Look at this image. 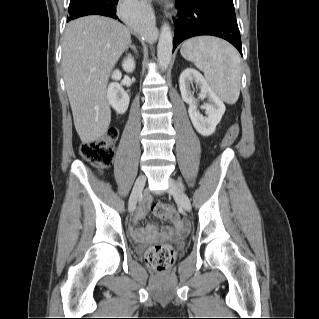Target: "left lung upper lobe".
Masks as SVG:
<instances>
[{"label":"left lung upper lobe","instance_id":"1","mask_svg":"<svg viewBox=\"0 0 319 319\" xmlns=\"http://www.w3.org/2000/svg\"><path fill=\"white\" fill-rule=\"evenodd\" d=\"M210 3L234 10L233 0H206Z\"/></svg>","mask_w":319,"mask_h":319}]
</instances>
